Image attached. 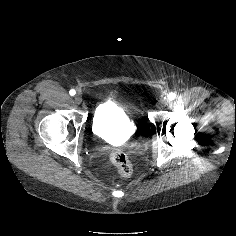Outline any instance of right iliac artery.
Returning <instances> with one entry per match:
<instances>
[{"label":"right iliac artery","instance_id":"1","mask_svg":"<svg viewBox=\"0 0 236 236\" xmlns=\"http://www.w3.org/2000/svg\"><path fill=\"white\" fill-rule=\"evenodd\" d=\"M69 94H70L71 96H74V95L76 94V92H75L74 89H71V90L69 91Z\"/></svg>","mask_w":236,"mask_h":236}]
</instances>
